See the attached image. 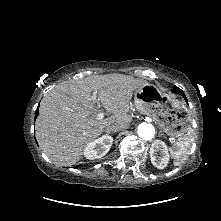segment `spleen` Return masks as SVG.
<instances>
[{"label":"spleen","instance_id":"spleen-1","mask_svg":"<svg viewBox=\"0 0 221 221\" xmlns=\"http://www.w3.org/2000/svg\"><path fill=\"white\" fill-rule=\"evenodd\" d=\"M192 129L190 128L188 133L183 137V139L178 140L171 148L170 154L174 159V165H181L189 156L193 140Z\"/></svg>","mask_w":221,"mask_h":221}]
</instances>
